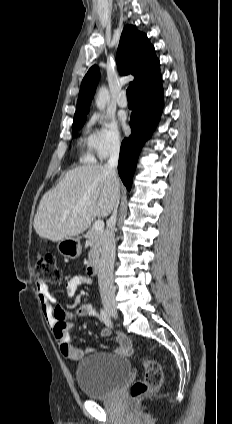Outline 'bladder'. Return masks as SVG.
Here are the masks:
<instances>
[{
  "label": "bladder",
  "instance_id": "obj_1",
  "mask_svg": "<svg viewBox=\"0 0 232 424\" xmlns=\"http://www.w3.org/2000/svg\"><path fill=\"white\" fill-rule=\"evenodd\" d=\"M131 372L127 358L95 353L77 365L76 382L87 398L104 399L113 395Z\"/></svg>",
  "mask_w": 232,
  "mask_h": 424
}]
</instances>
